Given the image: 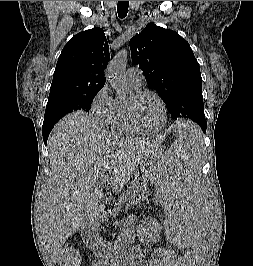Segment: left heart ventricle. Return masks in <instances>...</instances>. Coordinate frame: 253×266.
Instances as JSON below:
<instances>
[{
  "label": "left heart ventricle",
  "instance_id": "obj_1",
  "mask_svg": "<svg viewBox=\"0 0 253 266\" xmlns=\"http://www.w3.org/2000/svg\"><path fill=\"white\" fill-rule=\"evenodd\" d=\"M136 113L140 125L145 129H156L162 124V107L154 96L142 97L136 104Z\"/></svg>",
  "mask_w": 253,
  "mask_h": 266
}]
</instances>
